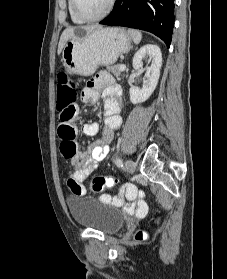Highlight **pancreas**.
<instances>
[{"mask_svg": "<svg viewBox=\"0 0 227 279\" xmlns=\"http://www.w3.org/2000/svg\"><path fill=\"white\" fill-rule=\"evenodd\" d=\"M120 65H111L107 66V70L110 71L115 77H119L121 75V72L119 70Z\"/></svg>", "mask_w": 227, "mask_h": 279, "instance_id": "obj_1", "label": "pancreas"}]
</instances>
